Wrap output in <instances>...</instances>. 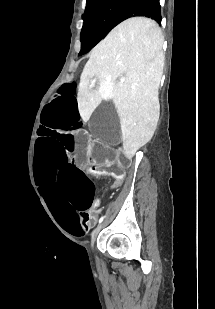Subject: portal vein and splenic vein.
Wrapping results in <instances>:
<instances>
[{"mask_svg":"<svg viewBox=\"0 0 215 309\" xmlns=\"http://www.w3.org/2000/svg\"><path fill=\"white\" fill-rule=\"evenodd\" d=\"M122 82H124V78H120L119 86H122Z\"/></svg>","mask_w":215,"mask_h":309,"instance_id":"18ae733b","label":"portal vein and splenic vein"}]
</instances>
